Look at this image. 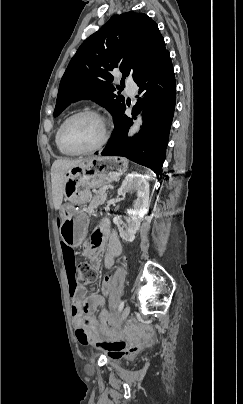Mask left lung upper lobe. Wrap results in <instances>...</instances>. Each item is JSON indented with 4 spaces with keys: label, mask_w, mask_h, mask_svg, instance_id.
<instances>
[{
    "label": "left lung upper lobe",
    "mask_w": 243,
    "mask_h": 404,
    "mask_svg": "<svg viewBox=\"0 0 243 404\" xmlns=\"http://www.w3.org/2000/svg\"><path fill=\"white\" fill-rule=\"evenodd\" d=\"M166 52L157 24L146 14L113 15L71 59L60 82L54 116L77 100L93 99L108 109L116 122L126 107L124 97L114 93L110 72L120 69L121 85L130 74L136 81Z\"/></svg>",
    "instance_id": "5c2ea615"
}]
</instances>
